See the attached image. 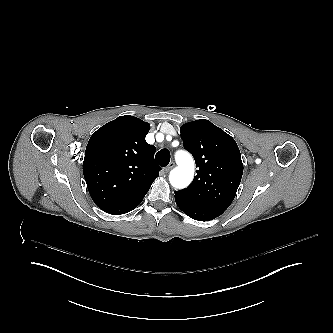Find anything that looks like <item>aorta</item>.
I'll return each instance as SVG.
<instances>
[{
  "instance_id": "obj_1",
  "label": "aorta",
  "mask_w": 333,
  "mask_h": 333,
  "mask_svg": "<svg viewBox=\"0 0 333 333\" xmlns=\"http://www.w3.org/2000/svg\"><path fill=\"white\" fill-rule=\"evenodd\" d=\"M181 162L172 172L170 173V181L172 185L177 188L186 187L192 180L194 174V163L192 158L187 155V159L183 160L179 158Z\"/></svg>"
}]
</instances>
